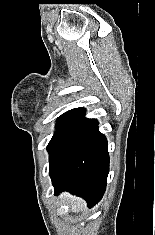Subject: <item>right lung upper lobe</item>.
Segmentation results:
<instances>
[{
  "mask_svg": "<svg viewBox=\"0 0 155 235\" xmlns=\"http://www.w3.org/2000/svg\"><path fill=\"white\" fill-rule=\"evenodd\" d=\"M85 114V109L84 108H75L72 110L67 111L66 113H64L62 116H68V117H72L81 121H85V122H91V123H96L97 121L95 119H88L84 116Z\"/></svg>",
  "mask_w": 155,
  "mask_h": 235,
  "instance_id": "1",
  "label": "right lung upper lobe"
}]
</instances>
